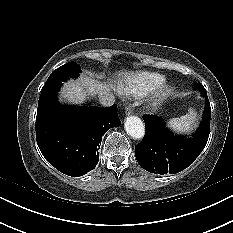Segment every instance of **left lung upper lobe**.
Listing matches in <instances>:
<instances>
[{
	"mask_svg": "<svg viewBox=\"0 0 233 233\" xmlns=\"http://www.w3.org/2000/svg\"><path fill=\"white\" fill-rule=\"evenodd\" d=\"M195 89L198 90V91H201V93H202L205 88H204V86L200 82H198L195 85Z\"/></svg>",
	"mask_w": 233,
	"mask_h": 233,
	"instance_id": "obj_1",
	"label": "left lung upper lobe"
}]
</instances>
